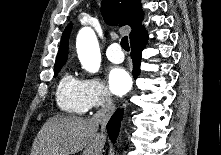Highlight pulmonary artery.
Instances as JSON below:
<instances>
[{
    "mask_svg": "<svg viewBox=\"0 0 221 155\" xmlns=\"http://www.w3.org/2000/svg\"><path fill=\"white\" fill-rule=\"evenodd\" d=\"M106 56L113 63H121L124 60V54L118 43H113L107 48Z\"/></svg>",
    "mask_w": 221,
    "mask_h": 155,
    "instance_id": "e3ab8cb5",
    "label": "pulmonary artery"
}]
</instances>
